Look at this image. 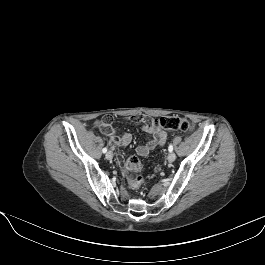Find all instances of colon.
<instances>
[{
    "label": "colon",
    "instance_id": "colon-1",
    "mask_svg": "<svg viewBox=\"0 0 265 265\" xmlns=\"http://www.w3.org/2000/svg\"><path fill=\"white\" fill-rule=\"evenodd\" d=\"M111 116H104L101 121V127L103 131H109L112 124ZM154 125L159 128H164L172 131H180L189 133L193 130V124L191 121L185 118L177 116H165L155 119ZM126 170L128 172L141 173L144 170V164L135 156L130 157L126 162ZM146 179L142 175L130 176L129 186L132 189H138L145 185Z\"/></svg>",
    "mask_w": 265,
    "mask_h": 265
}]
</instances>
